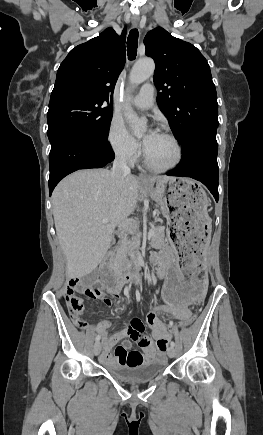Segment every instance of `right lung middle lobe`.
Instances as JSON below:
<instances>
[{"mask_svg":"<svg viewBox=\"0 0 263 435\" xmlns=\"http://www.w3.org/2000/svg\"><path fill=\"white\" fill-rule=\"evenodd\" d=\"M112 105L101 100H71L49 106L47 135L52 144L62 133H82L97 140L108 138Z\"/></svg>","mask_w":263,"mask_h":435,"instance_id":"obj_1","label":"right lung middle lobe"}]
</instances>
